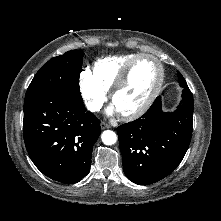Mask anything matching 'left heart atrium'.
I'll return each instance as SVG.
<instances>
[{
    "instance_id": "39dd6f15",
    "label": "left heart atrium",
    "mask_w": 221,
    "mask_h": 221,
    "mask_svg": "<svg viewBox=\"0 0 221 221\" xmlns=\"http://www.w3.org/2000/svg\"><path fill=\"white\" fill-rule=\"evenodd\" d=\"M114 111H117V109L115 108V106H111L108 108L107 113L112 114Z\"/></svg>"
}]
</instances>
